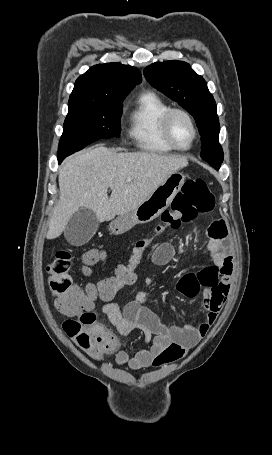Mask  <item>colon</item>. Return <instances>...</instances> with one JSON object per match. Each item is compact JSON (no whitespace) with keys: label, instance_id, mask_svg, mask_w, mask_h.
Wrapping results in <instances>:
<instances>
[{"label":"colon","instance_id":"obj_1","mask_svg":"<svg viewBox=\"0 0 272 455\" xmlns=\"http://www.w3.org/2000/svg\"><path fill=\"white\" fill-rule=\"evenodd\" d=\"M214 203V196L204 179L187 180L182 191L175 197L171 209L162 213L161 222L153 232L138 240L128 261L118 264L113 275L97 285H76L73 282L71 252L67 249L58 251L47 267L48 282L57 310L70 317L62 324L67 336L97 360L113 350L117 345L116 338L96 323L92 312L95 300L100 298L110 301L120 289L134 284L138 279L137 269L143 254L153 240L166 230L177 229L181 224L193 220L198 214L210 212ZM101 259L102 253L98 250L88 251L83 256L87 265Z\"/></svg>","mask_w":272,"mask_h":455}]
</instances>
